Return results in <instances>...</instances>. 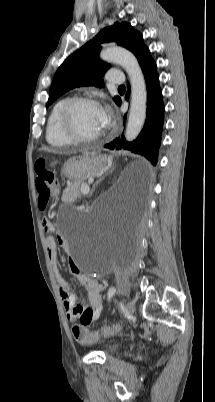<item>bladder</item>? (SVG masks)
Here are the masks:
<instances>
[{"label":"bladder","instance_id":"bladder-1","mask_svg":"<svg viewBox=\"0 0 215 402\" xmlns=\"http://www.w3.org/2000/svg\"><path fill=\"white\" fill-rule=\"evenodd\" d=\"M120 345L116 342L107 345L105 352L107 354L115 353L119 349Z\"/></svg>","mask_w":215,"mask_h":402}]
</instances>
